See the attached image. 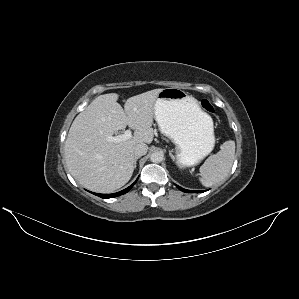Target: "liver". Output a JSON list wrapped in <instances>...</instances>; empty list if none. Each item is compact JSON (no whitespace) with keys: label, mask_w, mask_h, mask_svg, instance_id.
Returning a JSON list of instances; mask_svg holds the SVG:
<instances>
[{"label":"liver","mask_w":299,"mask_h":299,"mask_svg":"<svg viewBox=\"0 0 299 299\" xmlns=\"http://www.w3.org/2000/svg\"><path fill=\"white\" fill-rule=\"evenodd\" d=\"M162 89H154L127 99L124 109L116 93L96 97L74 119L64 145L67 168L85 188L111 193L124 186L134 170V148L153 141L155 101ZM134 129L128 140H106L126 126Z\"/></svg>","instance_id":"liver-1"}]
</instances>
